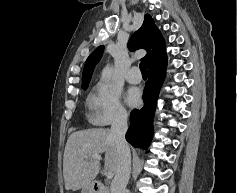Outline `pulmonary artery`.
<instances>
[{"label": "pulmonary artery", "mask_w": 237, "mask_h": 193, "mask_svg": "<svg viewBox=\"0 0 237 193\" xmlns=\"http://www.w3.org/2000/svg\"><path fill=\"white\" fill-rule=\"evenodd\" d=\"M126 80L131 84L140 83L142 81V76L139 69L137 67H132L126 75Z\"/></svg>", "instance_id": "e3ab8cb5"}]
</instances>
